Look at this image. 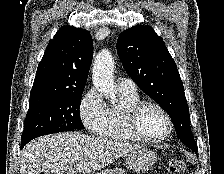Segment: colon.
<instances>
[{
	"mask_svg": "<svg viewBox=\"0 0 224 174\" xmlns=\"http://www.w3.org/2000/svg\"><path fill=\"white\" fill-rule=\"evenodd\" d=\"M185 170V163L181 159H171L169 162V171L171 174H181Z\"/></svg>",
	"mask_w": 224,
	"mask_h": 174,
	"instance_id": "1",
	"label": "colon"
}]
</instances>
